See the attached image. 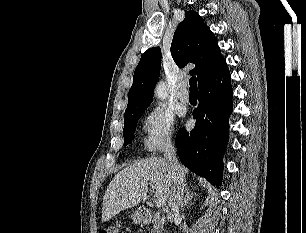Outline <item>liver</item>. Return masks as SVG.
I'll return each mask as SVG.
<instances>
[{
    "label": "liver",
    "instance_id": "liver-1",
    "mask_svg": "<svg viewBox=\"0 0 306 233\" xmlns=\"http://www.w3.org/2000/svg\"><path fill=\"white\" fill-rule=\"evenodd\" d=\"M182 168L184 174H188V170ZM172 182V170L166 159L152 157L133 163L117 173L110 182L103 199L102 222L139 204L152 183L155 184V197L167 201Z\"/></svg>",
    "mask_w": 306,
    "mask_h": 233
}]
</instances>
